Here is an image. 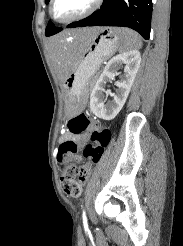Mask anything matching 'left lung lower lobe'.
<instances>
[{"instance_id":"0a47b994","label":"left lung lower lobe","mask_w":183,"mask_h":246,"mask_svg":"<svg viewBox=\"0 0 183 246\" xmlns=\"http://www.w3.org/2000/svg\"><path fill=\"white\" fill-rule=\"evenodd\" d=\"M152 0H104L100 9L89 17L73 22L68 28L85 26H122L149 39Z\"/></svg>"}]
</instances>
